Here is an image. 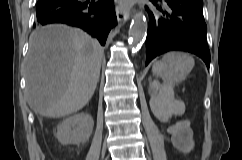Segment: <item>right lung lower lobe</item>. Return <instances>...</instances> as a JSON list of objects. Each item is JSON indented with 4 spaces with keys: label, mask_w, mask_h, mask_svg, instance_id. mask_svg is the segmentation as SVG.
I'll use <instances>...</instances> for the list:
<instances>
[{
    "label": "right lung lower lobe",
    "mask_w": 242,
    "mask_h": 160,
    "mask_svg": "<svg viewBox=\"0 0 242 160\" xmlns=\"http://www.w3.org/2000/svg\"><path fill=\"white\" fill-rule=\"evenodd\" d=\"M37 22L63 23L83 29L105 45L116 23L113 0H38Z\"/></svg>",
    "instance_id": "1"
}]
</instances>
